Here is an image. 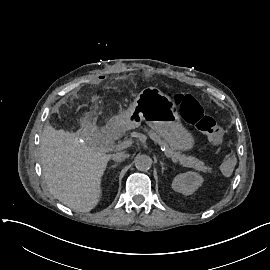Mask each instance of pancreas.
Instances as JSON below:
<instances>
[{
  "instance_id": "cf45deb5",
  "label": "pancreas",
  "mask_w": 270,
  "mask_h": 270,
  "mask_svg": "<svg viewBox=\"0 0 270 270\" xmlns=\"http://www.w3.org/2000/svg\"><path fill=\"white\" fill-rule=\"evenodd\" d=\"M144 130L148 132L149 137L153 141L158 143L160 146H163L166 148L165 154L168 157L174 156L176 159H178L180 161V164H182L185 167H192L196 170L203 171V172H211L212 169L210 167L205 166L204 162L200 161L199 159L192 157V156H186L185 154H181V152H176V151H174V149L169 148L166 141L161 139V136L158 133H156L155 131H153V130L148 131L146 128Z\"/></svg>"
}]
</instances>
